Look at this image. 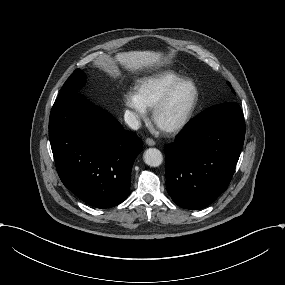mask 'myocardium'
<instances>
[{
  "mask_svg": "<svg viewBox=\"0 0 285 285\" xmlns=\"http://www.w3.org/2000/svg\"><path fill=\"white\" fill-rule=\"evenodd\" d=\"M189 83L192 84L195 88L194 100L190 108L188 109L187 113L178 122L166 128L161 127L165 132H168V133L179 132L190 123V121L192 120L199 106L200 99H201V90H200L198 83L194 79H191V78L181 79L180 81H178L172 87L169 88V90L164 94V96L161 98V100L157 103V105L153 109V120L158 125V117L160 113L169 105L176 91L183 85L189 84Z\"/></svg>",
  "mask_w": 285,
  "mask_h": 285,
  "instance_id": "myocardium-1",
  "label": "myocardium"
}]
</instances>
